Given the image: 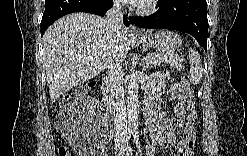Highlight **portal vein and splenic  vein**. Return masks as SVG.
<instances>
[{
  "label": "portal vein and splenic vein",
  "mask_w": 247,
  "mask_h": 156,
  "mask_svg": "<svg viewBox=\"0 0 247 156\" xmlns=\"http://www.w3.org/2000/svg\"><path fill=\"white\" fill-rule=\"evenodd\" d=\"M143 62H144V63H147V62H148V59H147V58H144V59H143Z\"/></svg>",
  "instance_id": "1"
}]
</instances>
